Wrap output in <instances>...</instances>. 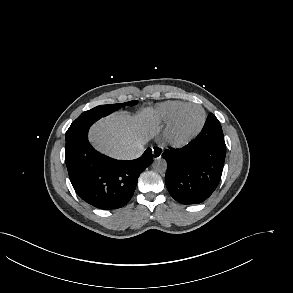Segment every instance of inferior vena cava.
<instances>
[{
  "instance_id": "1",
  "label": "inferior vena cava",
  "mask_w": 293,
  "mask_h": 293,
  "mask_svg": "<svg viewBox=\"0 0 293 293\" xmlns=\"http://www.w3.org/2000/svg\"><path fill=\"white\" fill-rule=\"evenodd\" d=\"M144 152V147L139 146L133 149H129L124 154V159H136L139 158Z\"/></svg>"
}]
</instances>
